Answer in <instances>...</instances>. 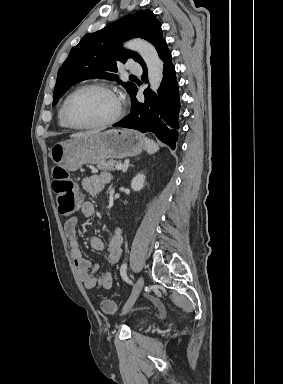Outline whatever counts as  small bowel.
Masks as SVG:
<instances>
[{
  "label": "small bowel",
  "instance_id": "small-bowel-1",
  "mask_svg": "<svg viewBox=\"0 0 283 384\" xmlns=\"http://www.w3.org/2000/svg\"><path fill=\"white\" fill-rule=\"evenodd\" d=\"M111 181L108 173L93 174L82 180L83 189L89 194H98ZM81 214L85 218H90L94 214V205L90 201H85L80 207ZM77 217H71L64 223V232L69 241L71 256L77 269L81 282L87 289H110L113 285V275L107 271L97 274L99 266L93 264L82 254L77 233ZM90 246L97 251H104L107 255V262L110 266L117 264L122 256V230L115 228L108 243L100 237L92 235L89 239Z\"/></svg>",
  "mask_w": 283,
  "mask_h": 384
}]
</instances>
